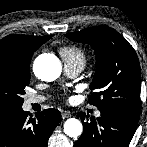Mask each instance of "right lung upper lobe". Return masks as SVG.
Instances as JSON below:
<instances>
[{
    "label": "right lung upper lobe",
    "mask_w": 147,
    "mask_h": 147,
    "mask_svg": "<svg viewBox=\"0 0 147 147\" xmlns=\"http://www.w3.org/2000/svg\"><path fill=\"white\" fill-rule=\"evenodd\" d=\"M52 36L8 35L0 40V60L12 61L30 68V60Z\"/></svg>",
    "instance_id": "obj_1"
}]
</instances>
